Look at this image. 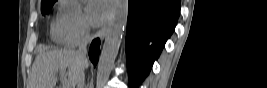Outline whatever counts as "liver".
I'll return each mask as SVG.
<instances>
[{
	"label": "liver",
	"mask_w": 267,
	"mask_h": 88,
	"mask_svg": "<svg viewBox=\"0 0 267 88\" xmlns=\"http://www.w3.org/2000/svg\"><path fill=\"white\" fill-rule=\"evenodd\" d=\"M88 62H81L72 49L48 51L37 56L32 66L29 88H55L58 71L68 69L67 83L75 88L81 69H86Z\"/></svg>",
	"instance_id": "liver-1"
}]
</instances>
